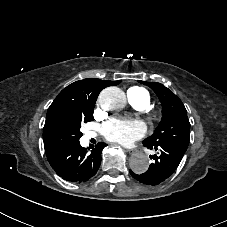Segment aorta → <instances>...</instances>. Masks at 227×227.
Returning a JSON list of instances; mask_svg holds the SVG:
<instances>
[{
  "instance_id": "obj_1",
  "label": "aorta",
  "mask_w": 227,
  "mask_h": 227,
  "mask_svg": "<svg viewBox=\"0 0 227 227\" xmlns=\"http://www.w3.org/2000/svg\"><path fill=\"white\" fill-rule=\"evenodd\" d=\"M99 103L105 110L120 109L126 103V96L120 88L108 87L100 93ZM129 165L133 172L142 174L149 167V159L144 153L138 152L131 157Z\"/></svg>"
}]
</instances>
